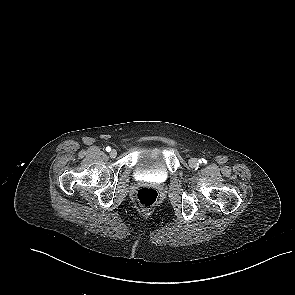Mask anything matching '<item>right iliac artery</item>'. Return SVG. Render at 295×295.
I'll return each instance as SVG.
<instances>
[{
  "mask_svg": "<svg viewBox=\"0 0 295 295\" xmlns=\"http://www.w3.org/2000/svg\"><path fill=\"white\" fill-rule=\"evenodd\" d=\"M106 151H107V152H110V151H111V147H109V146L106 147Z\"/></svg>",
  "mask_w": 295,
  "mask_h": 295,
  "instance_id": "82829eb1",
  "label": "right iliac artery"
}]
</instances>
